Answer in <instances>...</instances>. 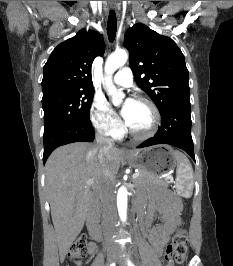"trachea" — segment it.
<instances>
[{"mask_svg": "<svg viewBox=\"0 0 233 266\" xmlns=\"http://www.w3.org/2000/svg\"><path fill=\"white\" fill-rule=\"evenodd\" d=\"M117 29V19L114 10H111L107 22V34L110 42L114 41Z\"/></svg>", "mask_w": 233, "mask_h": 266, "instance_id": "1", "label": "trachea"}]
</instances>
